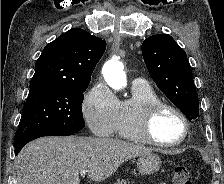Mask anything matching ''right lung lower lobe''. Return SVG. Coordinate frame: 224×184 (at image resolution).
<instances>
[{"label":"right lung lower lobe","mask_w":224,"mask_h":184,"mask_svg":"<svg viewBox=\"0 0 224 184\" xmlns=\"http://www.w3.org/2000/svg\"><path fill=\"white\" fill-rule=\"evenodd\" d=\"M74 133L72 132H57V131H50V132H44V133H39L35 134L32 136H29L28 138L24 139L22 142L18 143L15 145V155H17L20 150L30 141L42 137V136H52V135H58V136H68V135H73Z\"/></svg>","instance_id":"obj_1"}]
</instances>
